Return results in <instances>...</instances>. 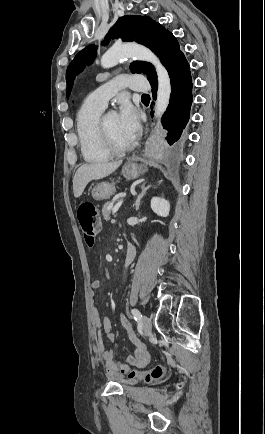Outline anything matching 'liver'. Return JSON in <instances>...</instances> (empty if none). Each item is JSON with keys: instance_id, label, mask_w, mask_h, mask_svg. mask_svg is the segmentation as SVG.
<instances>
[{"instance_id": "6515ba94", "label": "liver", "mask_w": 265, "mask_h": 434, "mask_svg": "<svg viewBox=\"0 0 265 434\" xmlns=\"http://www.w3.org/2000/svg\"><path fill=\"white\" fill-rule=\"evenodd\" d=\"M122 162H97V164H83L78 168L74 178H73V192L75 198H80L82 196L87 184L91 180H102L106 178L109 174H113Z\"/></svg>"}]
</instances>
